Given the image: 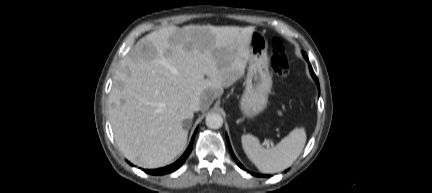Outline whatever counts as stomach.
I'll return each instance as SVG.
<instances>
[{
    "label": "stomach",
    "instance_id": "stomach-1",
    "mask_svg": "<svg viewBox=\"0 0 432 193\" xmlns=\"http://www.w3.org/2000/svg\"><path fill=\"white\" fill-rule=\"evenodd\" d=\"M267 50L265 35L253 31L250 36L246 86L239 101V108L247 118H254L264 111L268 103L272 77L269 72Z\"/></svg>",
    "mask_w": 432,
    "mask_h": 193
}]
</instances>
